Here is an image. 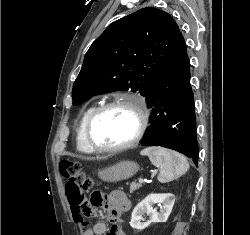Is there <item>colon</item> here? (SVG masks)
<instances>
[{"mask_svg": "<svg viewBox=\"0 0 250 235\" xmlns=\"http://www.w3.org/2000/svg\"><path fill=\"white\" fill-rule=\"evenodd\" d=\"M60 172L66 181V195L73 205H81L85 201V193H89L90 207H97L105 201L104 194L96 188V182L82 170L78 161L62 160Z\"/></svg>", "mask_w": 250, "mask_h": 235, "instance_id": "5ec220e1", "label": "colon"}]
</instances>
